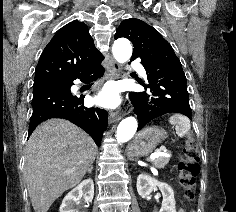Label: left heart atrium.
Here are the masks:
<instances>
[{
	"instance_id": "obj_1",
	"label": "left heart atrium",
	"mask_w": 236,
	"mask_h": 212,
	"mask_svg": "<svg viewBox=\"0 0 236 212\" xmlns=\"http://www.w3.org/2000/svg\"><path fill=\"white\" fill-rule=\"evenodd\" d=\"M95 102L107 108L116 107L120 102L118 91L114 86L108 85L97 95Z\"/></svg>"
}]
</instances>
